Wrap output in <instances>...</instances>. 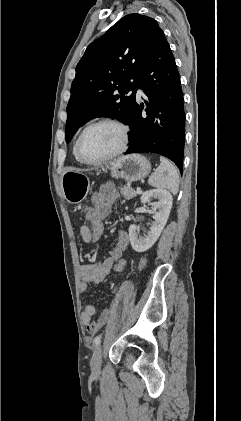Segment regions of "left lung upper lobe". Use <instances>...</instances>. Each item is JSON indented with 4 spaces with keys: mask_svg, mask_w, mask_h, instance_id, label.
Segmentation results:
<instances>
[{
    "mask_svg": "<svg viewBox=\"0 0 241 421\" xmlns=\"http://www.w3.org/2000/svg\"><path fill=\"white\" fill-rule=\"evenodd\" d=\"M160 31L153 18L129 14L87 47L71 86L67 143L93 118L104 116L131 123L137 78Z\"/></svg>",
    "mask_w": 241,
    "mask_h": 421,
    "instance_id": "1",
    "label": "left lung upper lobe"
}]
</instances>
